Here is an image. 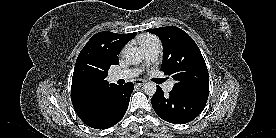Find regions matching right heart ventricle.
Listing matches in <instances>:
<instances>
[{"label":"right heart ventricle","mask_w":276,"mask_h":138,"mask_svg":"<svg viewBox=\"0 0 276 138\" xmlns=\"http://www.w3.org/2000/svg\"><path fill=\"white\" fill-rule=\"evenodd\" d=\"M152 41H159V40L154 36L145 35V36L141 37L140 44H141V46H143L144 44H146L148 42H152Z\"/></svg>","instance_id":"1"}]
</instances>
